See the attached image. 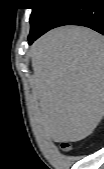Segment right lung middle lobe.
I'll return each mask as SVG.
<instances>
[{
	"instance_id": "obj_1",
	"label": "right lung middle lobe",
	"mask_w": 104,
	"mask_h": 169,
	"mask_svg": "<svg viewBox=\"0 0 104 169\" xmlns=\"http://www.w3.org/2000/svg\"><path fill=\"white\" fill-rule=\"evenodd\" d=\"M30 17L31 31L38 30L57 8V0H33Z\"/></svg>"
}]
</instances>
